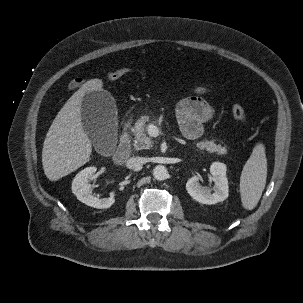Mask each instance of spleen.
Masks as SVG:
<instances>
[{
	"mask_svg": "<svg viewBox=\"0 0 303 303\" xmlns=\"http://www.w3.org/2000/svg\"><path fill=\"white\" fill-rule=\"evenodd\" d=\"M266 178L265 146L258 143L245 163L240 177L241 202L246 210H252L258 204L266 185Z\"/></svg>",
	"mask_w": 303,
	"mask_h": 303,
	"instance_id": "obj_1",
	"label": "spleen"
}]
</instances>
